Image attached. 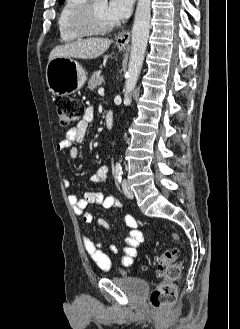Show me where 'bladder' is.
Returning <instances> with one entry per match:
<instances>
[{"label": "bladder", "mask_w": 240, "mask_h": 329, "mask_svg": "<svg viewBox=\"0 0 240 329\" xmlns=\"http://www.w3.org/2000/svg\"><path fill=\"white\" fill-rule=\"evenodd\" d=\"M112 281L133 296H143L149 290L148 282L141 277H113Z\"/></svg>", "instance_id": "31cf9c89"}]
</instances>
